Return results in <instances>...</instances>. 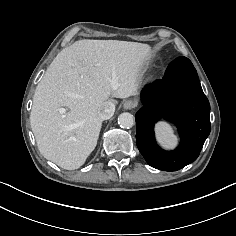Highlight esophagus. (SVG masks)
Masks as SVG:
<instances>
[{"label": "esophagus", "instance_id": "esophagus-1", "mask_svg": "<svg viewBox=\"0 0 236 236\" xmlns=\"http://www.w3.org/2000/svg\"><path fill=\"white\" fill-rule=\"evenodd\" d=\"M137 106V102L134 101V100H128L124 103L123 107L124 109L126 110H130V109H133Z\"/></svg>", "mask_w": 236, "mask_h": 236}]
</instances>
